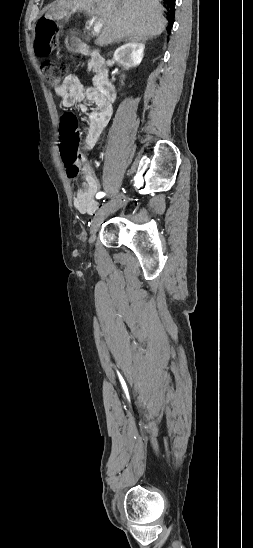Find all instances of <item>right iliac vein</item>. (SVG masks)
<instances>
[{
  "instance_id": "1",
  "label": "right iliac vein",
  "mask_w": 253,
  "mask_h": 548,
  "mask_svg": "<svg viewBox=\"0 0 253 548\" xmlns=\"http://www.w3.org/2000/svg\"><path fill=\"white\" fill-rule=\"evenodd\" d=\"M123 198H124V195L120 194L116 199H114L111 202H108L107 204H105L97 212L96 216L94 217V219L92 221L91 227H90V234L92 236L97 232V230H98L100 224L102 223V221L104 220V218L106 216H108L110 213L117 210V208L121 204Z\"/></svg>"
}]
</instances>
